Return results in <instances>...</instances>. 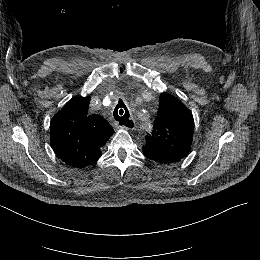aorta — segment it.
Returning <instances> with one entry per match:
<instances>
[{
    "mask_svg": "<svg viewBox=\"0 0 260 260\" xmlns=\"http://www.w3.org/2000/svg\"><path fill=\"white\" fill-rule=\"evenodd\" d=\"M147 128H151V124L150 123H146Z\"/></svg>",
    "mask_w": 260,
    "mask_h": 260,
    "instance_id": "1",
    "label": "aorta"
}]
</instances>
